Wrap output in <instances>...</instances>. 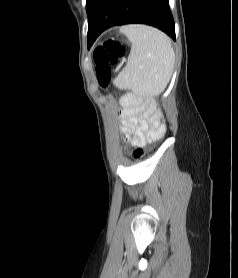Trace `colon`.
I'll return each instance as SVG.
<instances>
[{
    "label": "colon",
    "instance_id": "colon-1",
    "mask_svg": "<svg viewBox=\"0 0 238 278\" xmlns=\"http://www.w3.org/2000/svg\"><path fill=\"white\" fill-rule=\"evenodd\" d=\"M124 54L125 47L114 40H108L94 50L93 57L96 63L98 81L101 86L106 87L110 83L111 68ZM143 153V148L138 146L133 151V157L139 158Z\"/></svg>",
    "mask_w": 238,
    "mask_h": 278
}]
</instances>
